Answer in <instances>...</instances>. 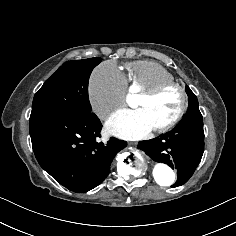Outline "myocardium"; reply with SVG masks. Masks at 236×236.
<instances>
[{"mask_svg":"<svg viewBox=\"0 0 236 236\" xmlns=\"http://www.w3.org/2000/svg\"><path fill=\"white\" fill-rule=\"evenodd\" d=\"M168 90H175L178 93L180 97V107L173 119H171L165 125L153 129V132L156 134H165L171 131L173 128H175L178 124H180L183 121L189 106L188 93L182 85L174 81L163 82L161 84L152 87L149 90L140 93V96L144 97L145 99L152 100Z\"/></svg>","mask_w":236,"mask_h":236,"instance_id":"obj_1","label":"myocardium"}]
</instances>
